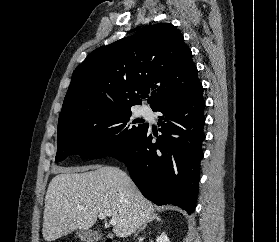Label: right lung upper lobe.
Here are the masks:
<instances>
[{"instance_id":"1","label":"right lung upper lobe","mask_w":279,"mask_h":242,"mask_svg":"<svg viewBox=\"0 0 279 242\" xmlns=\"http://www.w3.org/2000/svg\"><path fill=\"white\" fill-rule=\"evenodd\" d=\"M192 53L170 23L146 26L97 48L75 69L58 124L128 111L152 90L153 110L201 83Z\"/></svg>"}]
</instances>
